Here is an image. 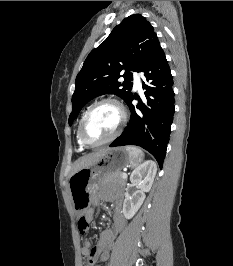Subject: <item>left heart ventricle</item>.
I'll return each mask as SVG.
<instances>
[{
	"label": "left heart ventricle",
	"mask_w": 233,
	"mask_h": 266,
	"mask_svg": "<svg viewBox=\"0 0 233 266\" xmlns=\"http://www.w3.org/2000/svg\"><path fill=\"white\" fill-rule=\"evenodd\" d=\"M121 120L119 109L110 103L99 106L88 118L84 135L89 142H99L111 136Z\"/></svg>",
	"instance_id": "left-heart-ventricle-1"
}]
</instances>
